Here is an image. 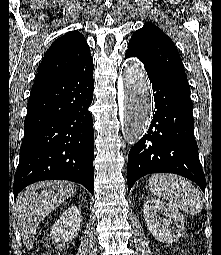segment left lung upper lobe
Wrapping results in <instances>:
<instances>
[{
	"label": "left lung upper lobe",
	"instance_id": "5c2ea615",
	"mask_svg": "<svg viewBox=\"0 0 221 255\" xmlns=\"http://www.w3.org/2000/svg\"><path fill=\"white\" fill-rule=\"evenodd\" d=\"M126 53L141 60L145 68L189 89L187 76L175 44L156 25L145 23L137 30L129 41Z\"/></svg>",
	"mask_w": 221,
	"mask_h": 255
}]
</instances>
